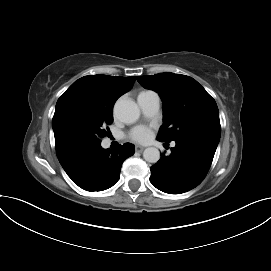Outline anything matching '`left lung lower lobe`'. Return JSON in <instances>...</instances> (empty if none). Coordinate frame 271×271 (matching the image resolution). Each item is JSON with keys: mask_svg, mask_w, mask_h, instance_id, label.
<instances>
[{"mask_svg": "<svg viewBox=\"0 0 271 271\" xmlns=\"http://www.w3.org/2000/svg\"><path fill=\"white\" fill-rule=\"evenodd\" d=\"M175 142L170 156L162 154L151 167V183L169 194L184 193L198 186L211 166L218 145L217 141L191 136Z\"/></svg>", "mask_w": 271, "mask_h": 271, "instance_id": "left-lung-lower-lobe-1", "label": "left lung lower lobe"}]
</instances>
